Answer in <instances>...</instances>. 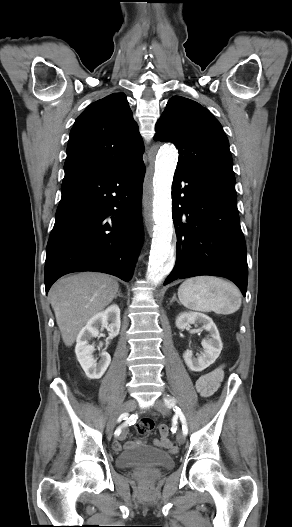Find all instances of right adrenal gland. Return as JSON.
I'll return each instance as SVG.
<instances>
[{
    "instance_id": "1",
    "label": "right adrenal gland",
    "mask_w": 292,
    "mask_h": 527,
    "mask_svg": "<svg viewBox=\"0 0 292 527\" xmlns=\"http://www.w3.org/2000/svg\"><path fill=\"white\" fill-rule=\"evenodd\" d=\"M117 297H121V298H123V295L120 293V291H119L118 294L116 295L115 299H116Z\"/></svg>"
}]
</instances>
